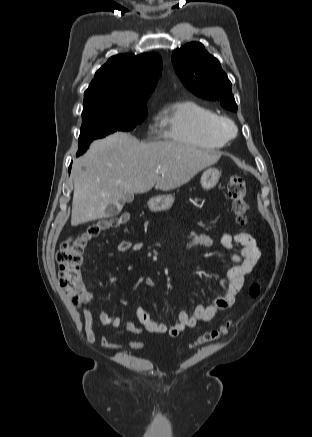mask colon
Here are the masks:
<instances>
[{
  "mask_svg": "<svg viewBox=\"0 0 312 437\" xmlns=\"http://www.w3.org/2000/svg\"><path fill=\"white\" fill-rule=\"evenodd\" d=\"M227 192L235 221L243 227L248 222L249 206L245 199V181L240 173L230 177ZM126 219V215H121L113 219L98 221L89 226L86 231L71 236L62 243L56 254V261L59 265V281L72 306L80 307L89 300V292L81 275L82 252L86 244L101 232L122 224ZM249 292L252 297H257L261 292L260 285L258 283L253 284ZM228 329L229 324L208 331L199 338L197 344L216 341L226 335Z\"/></svg>",
  "mask_w": 312,
  "mask_h": 437,
  "instance_id": "5ec220e1",
  "label": "colon"
}]
</instances>
